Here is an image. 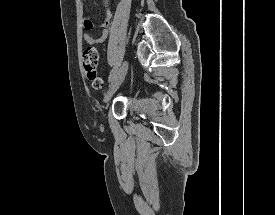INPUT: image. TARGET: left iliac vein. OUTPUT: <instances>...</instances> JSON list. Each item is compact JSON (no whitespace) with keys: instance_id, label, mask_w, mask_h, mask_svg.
<instances>
[{"instance_id":"left-iliac-vein-1","label":"left iliac vein","mask_w":275,"mask_h":215,"mask_svg":"<svg viewBox=\"0 0 275 215\" xmlns=\"http://www.w3.org/2000/svg\"><path fill=\"white\" fill-rule=\"evenodd\" d=\"M128 70V62L124 61L121 65L118 73L116 74L115 78L111 82L110 89L108 93L105 95V101L108 102L111 98V96L115 93V91L118 89L122 81L124 80L126 73Z\"/></svg>"}]
</instances>
